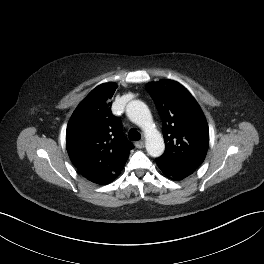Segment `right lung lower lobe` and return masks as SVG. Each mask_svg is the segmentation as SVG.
Returning <instances> with one entry per match:
<instances>
[{"instance_id": "98d812e1", "label": "right lung lower lobe", "mask_w": 264, "mask_h": 264, "mask_svg": "<svg viewBox=\"0 0 264 264\" xmlns=\"http://www.w3.org/2000/svg\"><path fill=\"white\" fill-rule=\"evenodd\" d=\"M79 171L85 178L100 185H105L112 182L121 173V171H119L114 174H107L106 172H103L99 169Z\"/></svg>"}]
</instances>
